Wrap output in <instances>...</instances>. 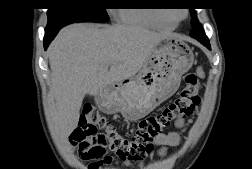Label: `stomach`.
I'll return each instance as SVG.
<instances>
[{"mask_svg": "<svg viewBox=\"0 0 252 169\" xmlns=\"http://www.w3.org/2000/svg\"><path fill=\"white\" fill-rule=\"evenodd\" d=\"M194 62L193 50L176 36L161 40L137 75L101 91L96 103L105 113L120 112L130 121L148 115L178 89Z\"/></svg>", "mask_w": 252, "mask_h": 169, "instance_id": "0dacf381", "label": "stomach"}]
</instances>
